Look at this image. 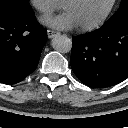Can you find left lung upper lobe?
<instances>
[{
	"label": "left lung upper lobe",
	"instance_id": "5c2ea615",
	"mask_svg": "<svg viewBox=\"0 0 128 128\" xmlns=\"http://www.w3.org/2000/svg\"><path fill=\"white\" fill-rule=\"evenodd\" d=\"M128 15V0H122L119 9L115 12V14L108 20H115L122 16Z\"/></svg>",
	"mask_w": 128,
	"mask_h": 128
}]
</instances>
